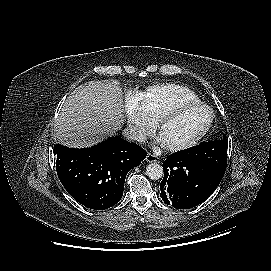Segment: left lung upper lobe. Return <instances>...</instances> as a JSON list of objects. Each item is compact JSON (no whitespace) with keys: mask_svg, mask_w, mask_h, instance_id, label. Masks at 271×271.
<instances>
[{"mask_svg":"<svg viewBox=\"0 0 271 271\" xmlns=\"http://www.w3.org/2000/svg\"><path fill=\"white\" fill-rule=\"evenodd\" d=\"M228 141L224 135L220 139L203 142L197 146L179 151L182 156L194 158L220 172L225 173L227 165Z\"/></svg>","mask_w":271,"mask_h":271,"instance_id":"left-lung-upper-lobe-1","label":"left lung upper lobe"}]
</instances>
